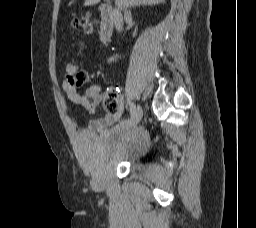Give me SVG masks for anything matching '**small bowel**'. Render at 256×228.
Returning a JSON list of instances; mask_svg holds the SVG:
<instances>
[{"label":"small bowel","instance_id":"small-bowel-1","mask_svg":"<svg viewBox=\"0 0 256 228\" xmlns=\"http://www.w3.org/2000/svg\"><path fill=\"white\" fill-rule=\"evenodd\" d=\"M69 65H72L69 63ZM91 80V75L88 71H80L76 74L66 75L62 82V87L68 97L75 103L83 106L90 114L96 112L97 103L102 100L106 93L101 91L99 85H92L83 93H79L78 88ZM123 105L121 99L118 100V110L114 114L106 115L103 118L89 121L86 128L82 129L80 134L89 135L91 133H102L110 125L117 122L122 115Z\"/></svg>","mask_w":256,"mask_h":228}]
</instances>
